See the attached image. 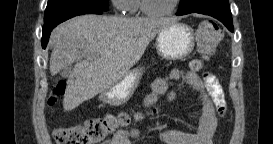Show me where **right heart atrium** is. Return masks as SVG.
I'll use <instances>...</instances> for the list:
<instances>
[{"mask_svg":"<svg viewBox=\"0 0 273 144\" xmlns=\"http://www.w3.org/2000/svg\"><path fill=\"white\" fill-rule=\"evenodd\" d=\"M128 0H111L112 6L117 12H126V4Z\"/></svg>","mask_w":273,"mask_h":144,"instance_id":"obj_1","label":"right heart atrium"}]
</instances>
